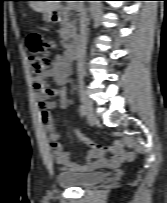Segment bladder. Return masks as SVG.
<instances>
[{
	"label": "bladder",
	"mask_w": 167,
	"mask_h": 203,
	"mask_svg": "<svg viewBox=\"0 0 167 203\" xmlns=\"http://www.w3.org/2000/svg\"><path fill=\"white\" fill-rule=\"evenodd\" d=\"M107 174L100 171L90 172H61L56 175V181L63 187L90 186L105 181Z\"/></svg>",
	"instance_id": "obj_1"
}]
</instances>
